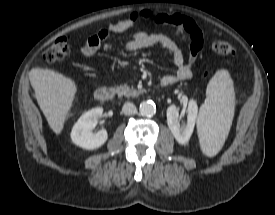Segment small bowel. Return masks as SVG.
Instances as JSON below:
<instances>
[{"mask_svg":"<svg viewBox=\"0 0 275 215\" xmlns=\"http://www.w3.org/2000/svg\"><path fill=\"white\" fill-rule=\"evenodd\" d=\"M163 16L159 15L153 19L154 23H162ZM132 27V23L127 20H121L106 24L98 34L90 37L85 45L82 47V55L84 57H91L98 51H110L114 45L106 42V39L111 33H120ZM159 45L166 49L172 56L173 62L177 67L175 74L165 75L162 79L169 80L172 83L176 81H185L192 76V66L197 60V57L203 46V36L199 29L192 37L190 44V53L188 60L185 61L183 53L179 46L168 36L162 33H147L144 31H137L124 44V50L128 52L137 51L143 48ZM161 79V80H162ZM98 88L97 85H94Z\"/></svg>","mask_w":275,"mask_h":215,"instance_id":"small-bowel-1","label":"small bowel"}]
</instances>
